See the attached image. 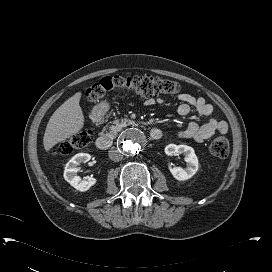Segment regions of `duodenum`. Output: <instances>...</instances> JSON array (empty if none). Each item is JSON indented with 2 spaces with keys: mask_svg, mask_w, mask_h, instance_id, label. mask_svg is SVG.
I'll use <instances>...</instances> for the list:
<instances>
[{
  "mask_svg": "<svg viewBox=\"0 0 272 272\" xmlns=\"http://www.w3.org/2000/svg\"><path fill=\"white\" fill-rule=\"evenodd\" d=\"M106 110L102 106L96 107L91 112V120L95 123L101 121L103 115L105 114ZM149 136L153 140H158L162 137V132L158 128H151L149 131ZM112 145V139L108 135H101L96 139V147L100 150H106Z\"/></svg>",
  "mask_w": 272,
  "mask_h": 272,
  "instance_id": "410a0bca",
  "label": "duodenum"
}]
</instances>
